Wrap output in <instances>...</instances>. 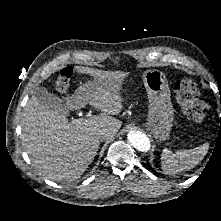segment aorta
I'll list each match as a JSON object with an SVG mask.
<instances>
[{
  "instance_id": "aorta-1",
  "label": "aorta",
  "mask_w": 221,
  "mask_h": 221,
  "mask_svg": "<svg viewBox=\"0 0 221 221\" xmlns=\"http://www.w3.org/2000/svg\"><path fill=\"white\" fill-rule=\"evenodd\" d=\"M129 143L138 151L147 152L150 149L149 138L140 131L131 130L127 134Z\"/></svg>"
}]
</instances>
